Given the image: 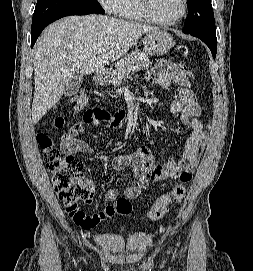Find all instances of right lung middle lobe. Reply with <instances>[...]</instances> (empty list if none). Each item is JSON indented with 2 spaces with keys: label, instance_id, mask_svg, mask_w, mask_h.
Returning a JSON list of instances; mask_svg holds the SVG:
<instances>
[{
  "label": "right lung middle lobe",
  "instance_id": "1",
  "mask_svg": "<svg viewBox=\"0 0 253 271\" xmlns=\"http://www.w3.org/2000/svg\"><path fill=\"white\" fill-rule=\"evenodd\" d=\"M86 15L104 14L105 11L97 0H38L32 19L31 30L36 29L47 20L63 14Z\"/></svg>",
  "mask_w": 253,
  "mask_h": 271
}]
</instances>
